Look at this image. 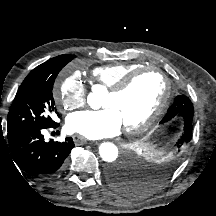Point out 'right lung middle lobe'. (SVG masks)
<instances>
[{
    "mask_svg": "<svg viewBox=\"0 0 216 216\" xmlns=\"http://www.w3.org/2000/svg\"><path fill=\"white\" fill-rule=\"evenodd\" d=\"M73 58V55L54 57L48 60L43 70L25 78L8 114V134L30 128H48L55 124L51 115L59 114L53 98V84L61 69Z\"/></svg>",
    "mask_w": 216,
    "mask_h": 216,
    "instance_id": "right-lung-middle-lobe-1",
    "label": "right lung middle lobe"
}]
</instances>
